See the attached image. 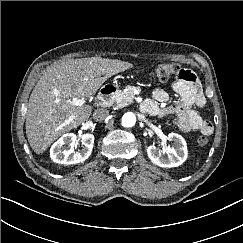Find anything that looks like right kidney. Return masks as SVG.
<instances>
[{"label":"right kidney","mask_w":243,"mask_h":243,"mask_svg":"<svg viewBox=\"0 0 243 243\" xmlns=\"http://www.w3.org/2000/svg\"><path fill=\"white\" fill-rule=\"evenodd\" d=\"M76 138V135L73 133H66L59 138L51 146V159L59 164H77L88 159L94 146V135L89 133L82 135L83 149L80 152L74 151Z\"/></svg>","instance_id":"1"}]
</instances>
